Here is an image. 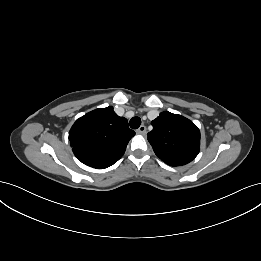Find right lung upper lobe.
Wrapping results in <instances>:
<instances>
[{
    "label": "right lung upper lobe",
    "instance_id": "1",
    "mask_svg": "<svg viewBox=\"0 0 261 261\" xmlns=\"http://www.w3.org/2000/svg\"><path fill=\"white\" fill-rule=\"evenodd\" d=\"M135 132L113 107L99 108L80 117L69 132L74 155L87 166L104 169L124 154Z\"/></svg>",
    "mask_w": 261,
    "mask_h": 261
}]
</instances>
